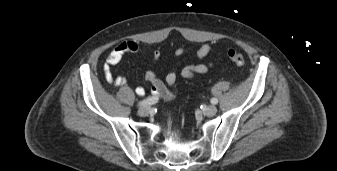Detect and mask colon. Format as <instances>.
<instances>
[{
    "label": "colon",
    "instance_id": "1",
    "mask_svg": "<svg viewBox=\"0 0 337 171\" xmlns=\"http://www.w3.org/2000/svg\"><path fill=\"white\" fill-rule=\"evenodd\" d=\"M228 58L236 65L242 66L245 64V57L244 55L237 50H229L228 51Z\"/></svg>",
    "mask_w": 337,
    "mask_h": 171
}]
</instances>
